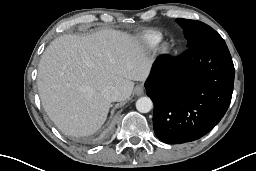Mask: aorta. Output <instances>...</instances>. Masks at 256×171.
Masks as SVG:
<instances>
[{"instance_id": "obj_1", "label": "aorta", "mask_w": 256, "mask_h": 171, "mask_svg": "<svg viewBox=\"0 0 256 171\" xmlns=\"http://www.w3.org/2000/svg\"><path fill=\"white\" fill-rule=\"evenodd\" d=\"M153 107V102L149 97H141L136 101V109L141 113H148Z\"/></svg>"}]
</instances>
